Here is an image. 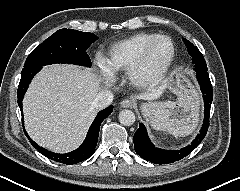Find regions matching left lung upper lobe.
I'll use <instances>...</instances> for the list:
<instances>
[{
	"instance_id": "obj_1",
	"label": "left lung upper lobe",
	"mask_w": 240,
	"mask_h": 191,
	"mask_svg": "<svg viewBox=\"0 0 240 191\" xmlns=\"http://www.w3.org/2000/svg\"><path fill=\"white\" fill-rule=\"evenodd\" d=\"M183 41H184L185 45L187 46L188 53L192 57V63L195 66V71L196 70L207 71L206 62L204 60L203 55L199 51V49L196 46H194L191 42H189L188 40H186L184 38H183Z\"/></svg>"
}]
</instances>
